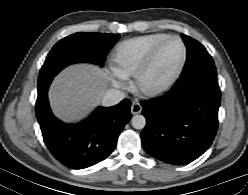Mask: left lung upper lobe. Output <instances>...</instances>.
<instances>
[{
	"label": "left lung upper lobe",
	"instance_id": "1",
	"mask_svg": "<svg viewBox=\"0 0 248 195\" xmlns=\"http://www.w3.org/2000/svg\"><path fill=\"white\" fill-rule=\"evenodd\" d=\"M187 48V60L180 76L184 83H190L200 78H216V68L212 57L205 47L197 40L182 34Z\"/></svg>",
	"mask_w": 248,
	"mask_h": 195
}]
</instances>
